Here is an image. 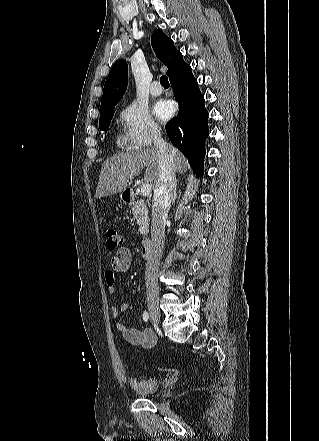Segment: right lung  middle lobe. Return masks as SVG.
I'll return each instance as SVG.
<instances>
[{
    "instance_id": "dd1d6c3e",
    "label": "right lung middle lobe",
    "mask_w": 319,
    "mask_h": 441,
    "mask_svg": "<svg viewBox=\"0 0 319 441\" xmlns=\"http://www.w3.org/2000/svg\"><path fill=\"white\" fill-rule=\"evenodd\" d=\"M114 107H107L100 110L99 128L100 130L107 131L110 125L111 119L114 115Z\"/></svg>"
}]
</instances>
